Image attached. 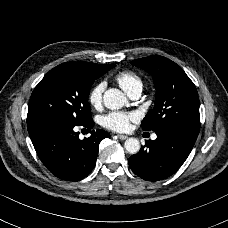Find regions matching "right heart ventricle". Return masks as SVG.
Masks as SVG:
<instances>
[{"instance_id": "e07e8e85", "label": "right heart ventricle", "mask_w": 228, "mask_h": 228, "mask_svg": "<svg viewBox=\"0 0 228 228\" xmlns=\"http://www.w3.org/2000/svg\"><path fill=\"white\" fill-rule=\"evenodd\" d=\"M115 80L128 95L136 90H142L143 88L141 77L132 71L126 70L119 72L116 74Z\"/></svg>"}]
</instances>
